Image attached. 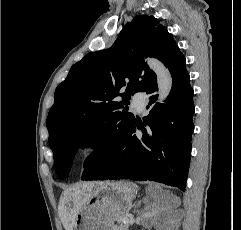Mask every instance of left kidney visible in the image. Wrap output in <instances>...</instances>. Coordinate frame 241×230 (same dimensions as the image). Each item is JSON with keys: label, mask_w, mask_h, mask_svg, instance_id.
I'll list each match as a JSON object with an SVG mask.
<instances>
[{"label": "left kidney", "mask_w": 241, "mask_h": 230, "mask_svg": "<svg viewBox=\"0 0 241 230\" xmlns=\"http://www.w3.org/2000/svg\"><path fill=\"white\" fill-rule=\"evenodd\" d=\"M147 217H150L149 218V220L148 221H146V226L147 227H150L153 223H154V221H155V218H153L150 214H148V215H146Z\"/></svg>", "instance_id": "left-kidney-1"}]
</instances>
